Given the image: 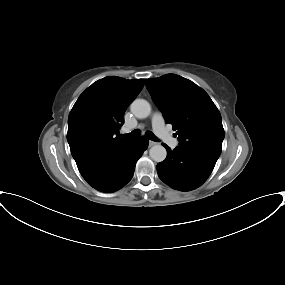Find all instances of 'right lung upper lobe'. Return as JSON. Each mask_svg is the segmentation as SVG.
<instances>
[{
	"label": "right lung upper lobe",
	"mask_w": 285,
	"mask_h": 285,
	"mask_svg": "<svg viewBox=\"0 0 285 285\" xmlns=\"http://www.w3.org/2000/svg\"><path fill=\"white\" fill-rule=\"evenodd\" d=\"M144 86V79L116 76L100 79L88 87L68 117L67 140L77 166L129 141L119 134L124 113Z\"/></svg>",
	"instance_id": "right-lung-upper-lobe-1"
}]
</instances>
